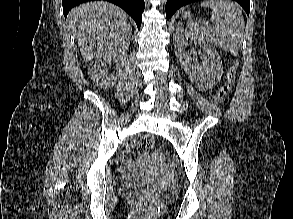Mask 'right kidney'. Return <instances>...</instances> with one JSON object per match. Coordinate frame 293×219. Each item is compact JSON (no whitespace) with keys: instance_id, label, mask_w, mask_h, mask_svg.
I'll return each instance as SVG.
<instances>
[{"instance_id":"1","label":"right kidney","mask_w":293,"mask_h":219,"mask_svg":"<svg viewBox=\"0 0 293 219\" xmlns=\"http://www.w3.org/2000/svg\"><path fill=\"white\" fill-rule=\"evenodd\" d=\"M125 61L126 57L123 54L119 56L100 57L89 67V75L93 80V83L97 87L105 89L113 87L121 77ZM112 62L116 64V71L109 74L106 67L107 65H111Z\"/></svg>"}]
</instances>
